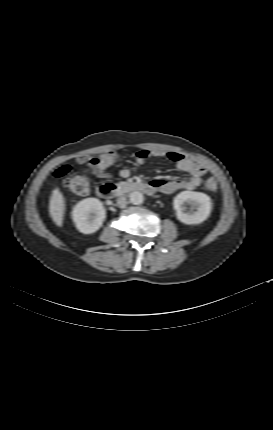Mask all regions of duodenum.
Returning a JSON list of instances; mask_svg holds the SVG:
<instances>
[{
  "label": "duodenum",
  "instance_id": "duodenum-1",
  "mask_svg": "<svg viewBox=\"0 0 273 430\" xmlns=\"http://www.w3.org/2000/svg\"><path fill=\"white\" fill-rule=\"evenodd\" d=\"M133 191H139L146 194H153L156 192V187L153 183H134L130 185ZM118 193L117 187L112 183H104L97 188V194L103 199H110Z\"/></svg>",
  "mask_w": 273,
  "mask_h": 430
}]
</instances>
